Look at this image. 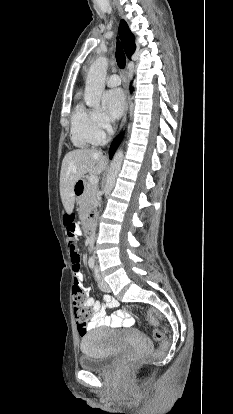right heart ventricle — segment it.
Returning a JSON list of instances; mask_svg holds the SVG:
<instances>
[{"label": "right heart ventricle", "mask_w": 233, "mask_h": 414, "mask_svg": "<svg viewBox=\"0 0 233 414\" xmlns=\"http://www.w3.org/2000/svg\"><path fill=\"white\" fill-rule=\"evenodd\" d=\"M71 140L80 148L98 145L101 141L94 122V112L78 103L71 114Z\"/></svg>", "instance_id": "obj_1"}]
</instances>
